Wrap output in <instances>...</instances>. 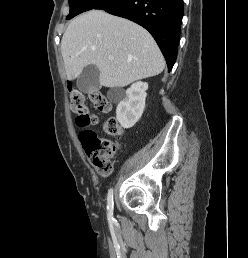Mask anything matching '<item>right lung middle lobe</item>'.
Here are the masks:
<instances>
[{
    "label": "right lung middle lobe",
    "mask_w": 248,
    "mask_h": 258,
    "mask_svg": "<svg viewBox=\"0 0 248 258\" xmlns=\"http://www.w3.org/2000/svg\"><path fill=\"white\" fill-rule=\"evenodd\" d=\"M110 1L112 0H69L70 13L67 16V19H71L74 16L91 9H98Z\"/></svg>",
    "instance_id": "1"
}]
</instances>
